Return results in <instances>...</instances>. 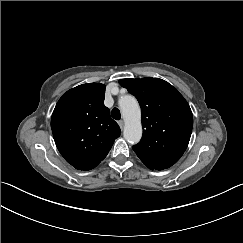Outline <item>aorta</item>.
I'll list each match as a JSON object with an SVG mask.
<instances>
[{
  "label": "aorta",
  "mask_w": 243,
  "mask_h": 243,
  "mask_svg": "<svg viewBox=\"0 0 243 243\" xmlns=\"http://www.w3.org/2000/svg\"><path fill=\"white\" fill-rule=\"evenodd\" d=\"M118 105L124 120L123 136L130 144H136L142 137L141 109L133 95L119 98Z\"/></svg>",
  "instance_id": "obj_1"
}]
</instances>
